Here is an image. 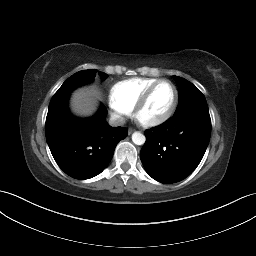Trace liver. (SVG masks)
Here are the masks:
<instances>
[{"instance_id":"liver-1","label":"liver","mask_w":256,"mask_h":256,"mask_svg":"<svg viewBox=\"0 0 256 256\" xmlns=\"http://www.w3.org/2000/svg\"><path fill=\"white\" fill-rule=\"evenodd\" d=\"M101 92L95 87H84L76 90L71 97L72 111L80 116H89L96 110Z\"/></svg>"}]
</instances>
